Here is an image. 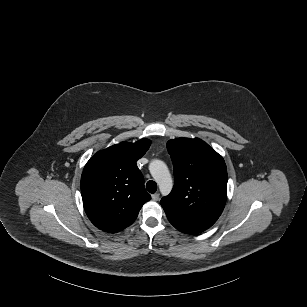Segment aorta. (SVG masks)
I'll return each mask as SVG.
<instances>
[{
	"mask_svg": "<svg viewBox=\"0 0 307 307\" xmlns=\"http://www.w3.org/2000/svg\"><path fill=\"white\" fill-rule=\"evenodd\" d=\"M149 171L158 184L161 194L168 195L173 188V180L167 165L161 160H152L149 164Z\"/></svg>",
	"mask_w": 307,
	"mask_h": 307,
	"instance_id": "1",
	"label": "aorta"
}]
</instances>
